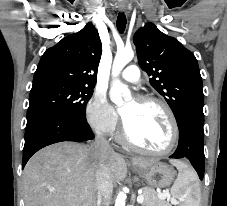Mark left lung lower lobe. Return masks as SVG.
<instances>
[{"label":"left lung lower lobe","instance_id":"obj_1","mask_svg":"<svg viewBox=\"0 0 227 206\" xmlns=\"http://www.w3.org/2000/svg\"><path fill=\"white\" fill-rule=\"evenodd\" d=\"M204 119L192 115L185 118L179 128V143L176 151L169 158L188 159L199 178L204 176V149H203Z\"/></svg>","mask_w":227,"mask_h":206}]
</instances>
